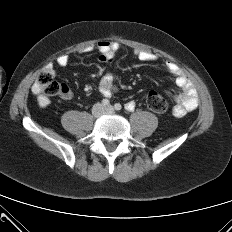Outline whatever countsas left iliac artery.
<instances>
[{
	"label": "left iliac artery",
	"instance_id": "obj_1",
	"mask_svg": "<svg viewBox=\"0 0 232 232\" xmlns=\"http://www.w3.org/2000/svg\"><path fill=\"white\" fill-rule=\"evenodd\" d=\"M114 108L119 111V110H121L122 106H121L120 103H116L114 105ZM126 109L129 110V111H132V110H134V106L129 105L128 107H126Z\"/></svg>",
	"mask_w": 232,
	"mask_h": 232
}]
</instances>
